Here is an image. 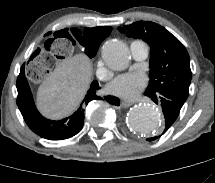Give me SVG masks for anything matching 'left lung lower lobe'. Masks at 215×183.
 I'll return each mask as SVG.
<instances>
[{
    "label": "left lung lower lobe",
    "instance_id": "1",
    "mask_svg": "<svg viewBox=\"0 0 215 183\" xmlns=\"http://www.w3.org/2000/svg\"><path fill=\"white\" fill-rule=\"evenodd\" d=\"M144 94L148 97H151L156 104L159 103L161 105L165 117V129L163 132L165 133L177 119L186 99L177 92L171 90H162L159 93L155 94L149 93ZM156 138L158 137L149 138L147 140L151 141Z\"/></svg>",
    "mask_w": 215,
    "mask_h": 183
}]
</instances>
